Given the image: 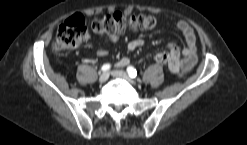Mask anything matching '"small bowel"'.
I'll list each match as a JSON object with an SVG mask.
<instances>
[{
  "mask_svg": "<svg viewBox=\"0 0 247 145\" xmlns=\"http://www.w3.org/2000/svg\"><path fill=\"white\" fill-rule=\"evenodd\" d=\"M176 26H177V29L183 35L185 42H186V46L182 50H180L176 46V44L169 43L168 44L169 51L167 53L169 56V60L167 62V65H168L169 70L172 73H175V74L186 73L192 70L193 67L197 63L196 35L192 27L186 21L180 20L177 22ZM109 40L112 43H117L119 41V36L116 34L110 35ZM144 44H145L144 39L135 38L129 41V43L127 44V49L129 52H133L137 50L138 48L142 47ZM107 54L108 52L105 49H99L97 51V55L99 57H105ZM129 63H130V57L125 56V57H122L116 63V66L119 68H123L127 66Z\"/></svg>",
  "mask_w": 247,
  "mask_h": 145,
  "instance_id": "c3829d8e",
  "label": "small bowel"
}]
</instances>
